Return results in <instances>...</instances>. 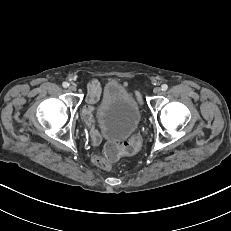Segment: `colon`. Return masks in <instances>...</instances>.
Instances as JSON below:
<instances>
[{"label": "colon", "mask_w": 231, "mask_h": 231, "mask_svg": "<svg viewBox=\"0 0 231 231\" xmlns=\"http://www.w3.org/2000/svg\"><path fill=\"white\" fill-rule=\"evenodd\" d=\"M141 146V137L136 135L128 141L119 144L116 142H107L102 150V154H96L92 157L93 163L105 170L111 168V162L119 159L123 155L131 156L137 153Z\"/></svg>", "instance_id": "colon-1"}]
</instances>
